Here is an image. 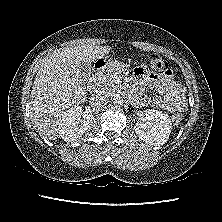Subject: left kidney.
Here are the masks:
<instances>
[{"instance_id": "1", "label": "left kidney", "mask_w": 222, "mask_h": 222, "mask_svg": "<svg viewBox=\"0 0 222 222\" xmlns=\"http://www.w3.org/2000/svg\"><path fill=\"white\" fill-rule=\"evenodd\" d=\"M142 118L143 121L134 126L137 136L149 145L165 144L172 129L169 116L162 111L146 109Z\"/></svg>"}]
</instances>
